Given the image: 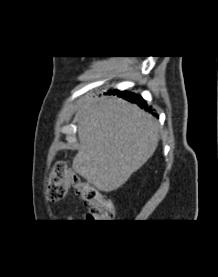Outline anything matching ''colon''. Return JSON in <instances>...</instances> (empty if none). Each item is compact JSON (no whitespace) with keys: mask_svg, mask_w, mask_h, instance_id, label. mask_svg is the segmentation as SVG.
Listing matches in <instances>:
<instances>
[{"mask_svg":"<svg viewBox=\"0 0 218 277\" xmlns=\"http://www.w3.org/2000/svg\"><path fill=\"white\" fill-rule=\"evenodd\" d=\"M69 188H74L89 206V212L86 215L88 222H109L114 218L113 200L83 180L66 162L59 161L55 163L49 175L47 197L51 201H58L65 197Z\"/></svg>","mask_w":218,"mask_h":277,"instance_id":"obj_1","label":"colon"}]
</instances>
